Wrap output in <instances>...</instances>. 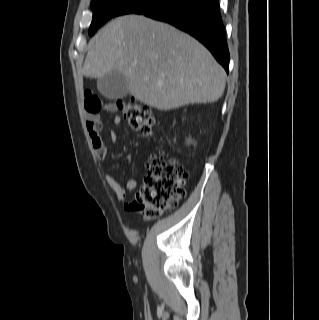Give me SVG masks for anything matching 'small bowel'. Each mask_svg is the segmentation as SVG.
I'll return each instance as SVG.
<instances>
[{"instance_id":"obj_1","label":"small bowel","mask_w":319,"mask_h":320,"mask_svg":"<svg viewBox=\"0 0 319 320\" xmlns=\"http://www.w3.org/2000/svg\"><path fill=\"white\" fill-rule=\"evenodd\" d=\"M84 107L86 113V128L89 133L91 143L96 151V154L99 159L106 160L108 155V148L104 143V140L101 136V131L103 129V124L101 121L100 108L101 102L98 97L94 96L90 91L84 92ZM109 111L114 112L115 108L113 106L108 107ZM122 122L120 116L115 115L113 117V123L115 125H120ZM110 138L112 141L117 140L116 132L112 131L110 133ZM128 163L132 161V156L127 157ZM105 180L108 186L113 190L116 197L122 199L125 197L127 191H133L138 186V181L135 178H130L125 186L122 185L116 178L112 175L107 174Z\"/></svg>"}]
</instances>
